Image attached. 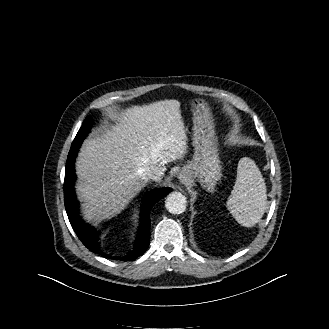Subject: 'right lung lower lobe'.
I'll return each mask as SVG.
<instances>
[{"mask_svg": "<svg viewBox=\"0 0 329 329\" xmlns=\"http://www.w3.org/2000/svg\"><path fill=\"white\" fill-rule=\"evenodd\" d=\"M79 149V148H78ZM75 150L72 154L68 155L65 169V179H64V203L66 212L70 221V224L74 231L76 232L82 243L92 252L100 253L98 236L95 230L88 224L84 223L79 216L78 201L76 200L74 192V160L77 154ZM171 191V188H160L150 192L144 203L142 204L141 210V226L136 239L134 250L123 257H111L104 255L106 258L114 260H124L130 261L141 256L148 248L150 243V209L155 202L166 196ZM102 254V253H100Z\"/></svg>", "mask_w": 329, "mask_h": 329, "instance_id": "obj_1", "label": "right lung lower lobe"}]
</instances>
